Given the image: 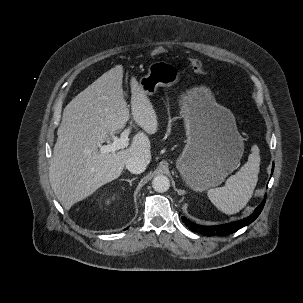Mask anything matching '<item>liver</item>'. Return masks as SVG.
<instances>
[{"label":"liver","instance_id":"obj_1","mask_svg":"<svg viewBox=\"0 0 303 303\" xmlns=\"http://www.w3.org/2000/svg\"><path fill=\"white\" fill-rule=\"evenodd\" d=\"M123 66L117 65L80 92L65 107L49 167L51 187L68 210L117 179L134 156L151 160L150 141L138 132L131 145L118 152L101 153L99 146L122 129L130 118L122 89ZM131 112L146 133L155 134V109L135 77L131 78Z\"/></svg>","mask_w":303,"mask_h":303}]
</instances>
